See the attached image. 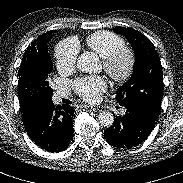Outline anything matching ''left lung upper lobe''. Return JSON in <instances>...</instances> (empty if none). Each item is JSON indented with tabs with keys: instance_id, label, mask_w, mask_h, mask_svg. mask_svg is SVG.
<instances>
[{
	"instance_id": "left-lung-upper-lobe-1",
	"label": "left lung upper lobe",
	"mask_w": 183,
	"mask_h": 183,
	"mask_svg": "<svg viewBox=\"0 0 183 183\" xmlns=\"http://www.w3.org/2000/svg\"><path fill=\"white\" fill-rule=\"evenodd\" d=\"M133 46L136 61L131 78L117 90L121 106H136L158 118L163 94V73L152 42L133 28L115 27Z\"/></svg>"
}]
</instances>
